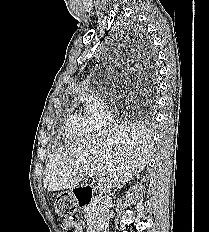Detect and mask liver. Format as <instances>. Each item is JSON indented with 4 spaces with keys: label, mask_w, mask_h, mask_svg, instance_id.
Segmentation results:
<instances>
[{
    "label": "liver",
    "mask_w": 209,
    "mask_h": 232,
    "mask_svg": "<svg viewBox=\"0 0 209 232\" xmlns=\"http://www.w3.org/2000/svg\"><path fill=\"white\" fill-rule=\"evenodd\" d=\"M152 153L153 143L143 128L116 125L77 139L52 154L43 185L48 192L74 189L85 179L89 168L94 167L99 177L96 188L108 193L142 171Z\"/></svg>",
    "instance_id": "6515ba94"
}]
</instances>
